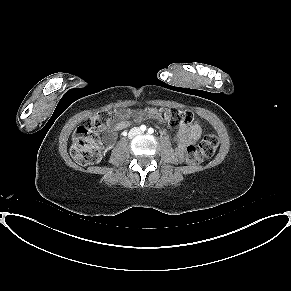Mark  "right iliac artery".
Masks as SVG:
<instances>
[{
  "label": "right iliac artery",
  "instance_id": "right-iliac-artery-1",
  "mask_svg": "<svg viewBox=\"0 0 291 291\" xmlns=\"http://www.w3.org/2000/svg\"><path fill=\"white\" fill-rule=\"evenodd\" d=\"M140 129H141L142 131H145V130L147 129V127H146L145 125H141V126H140Z\"/></svg>",
  "mask_w": 291,
  "mask_h": 291
}]
</instances>
